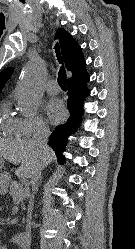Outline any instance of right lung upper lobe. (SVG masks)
<instances>
[{"instance_id": "right-lung-upper-lobe-1", "label": "right lung upper lobe", "mask_w": 135, "mask_h": 249, "mask_svg": "<svg viewBox=\"0 0 135 249\" xmlns=\"http://www.w3.org/2000/svg\"><path fill=\"white\" fill-rule=\"evenodd\" d=\"M55 38L59 41L65 66L72 73L71 78H69L67 82L82 79L88 73L86 71V62L83 58L81 47L63 28L57 30ZM12 71L13 68H6L0 72V93L6 81L11 76Z\"/></svg>"}]
</instances>
